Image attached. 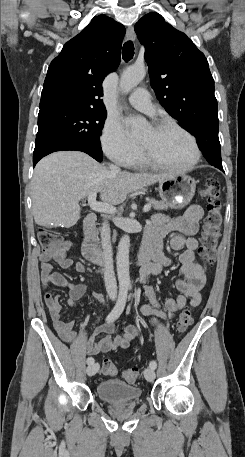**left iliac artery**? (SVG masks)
<instances>
[{
	"instance_id": "left-iliac-artery-1",
	"label": "left iliac artery",
	"mask_w": 245,
	"mask_h": 457,
	"mask_svg": "<svg viewBox=\"0 0 245 457\" xmlns=\"http://www.w3.org/2000/svg\"><path fill=\"white\" fill-rule=\"evenodd\" d=\"M149 367L152 368V369H156V367H157L156 361H155V360H152V361L150 362V364H149Z\"/></svg>"
}]
</instances>
